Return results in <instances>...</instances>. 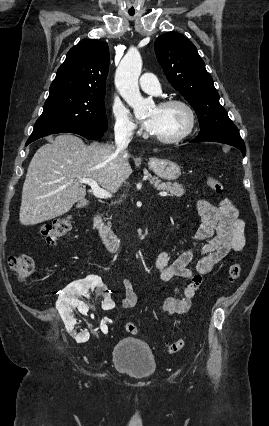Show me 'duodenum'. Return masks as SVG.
Returning <instances> with one entry per match:
<instances>
[{"label": "duodenum", "mask_w": 269, "mask_h": 426, "mask_svg": "<svg viewBox=\"0 0 269 426\" xmlns=\"http://www.w3.org/2000/svg\"><path fill=\"white\" fill-rule=\"evenodd\" d=\"M163 221L158 218L154 222V232L158 233L162 229ZM93 229L97 232L102 243L109 253L115 254L119 251L122 241L119 236L105 226L100 214H95L93 218Z\"/></svg>", "instance_id": "duodenum-1"}]
</instances>
